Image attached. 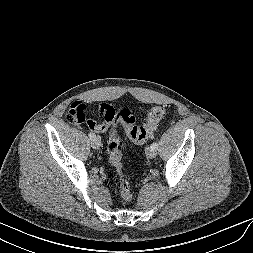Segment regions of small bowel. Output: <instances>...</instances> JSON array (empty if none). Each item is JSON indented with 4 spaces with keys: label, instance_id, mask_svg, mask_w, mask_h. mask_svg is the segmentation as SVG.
<instances>
[{
    "label": "small bowel",
    "instance_id": "small-bowel-1",
    "mask_svg": "<svg viewBox=\"0 0 253 253\" xmlns=\"http://www.w3.org/2000/svg\"><path fill=\"white\" fill-rule=\"evenodd\" d=\"M97 113L102 118V122L97 123L92 120L91 124H88V126L95 133H102L113 125L115 111L110 105L102 104L98 108Z\"/></svg>",
    "mask_w": 253,
    "mask_h": 253
}]
</instances>
